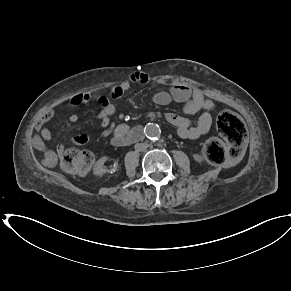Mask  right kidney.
<instances>
[{"label": "right kidney", "mask_w": 291, "mask_h": 291, "mask_svg": "<svg viewBox=\"0 0 291 291\" xmlns=\"http://www.w3.org/2000/svg\"><path fill=\"white\" fill-rule=\"evenodd\" d=\"M105 159H100L97 161L93 171L95 175H103L104 173L108 172V170L104 167Z\"/></svg>", "instance_id": "1"}]
</instances>
